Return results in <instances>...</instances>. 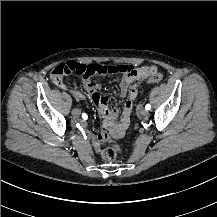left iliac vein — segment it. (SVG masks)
Here are the masks:
<instances>
[{
    "mask_svg": "<svg viewBox=\"0 0 217 217\" xmlns=\"http://www.w3.org/2000/svg\"><path fill=\"white\" fill-rule=\"evenodd\" d=\"M139 112L143 117H146L149 114V111L145 108H140Z\"/></svg>",
    "mask_w": 217,
    "mask_h": 217,
    "instance_id": "1",
    "label": "left iliac vein"
}]
</instances>
